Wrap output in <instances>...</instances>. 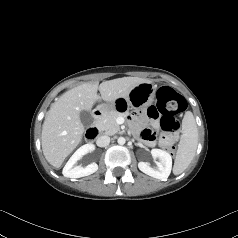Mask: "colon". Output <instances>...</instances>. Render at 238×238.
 Listing matches in <instances>:
<instances>
[{"instance_id":"colon-1","label":"colon","mask_w":238,"mask_h":238,"mask_svg":"<svg viewBox=\"0 0 238 238\" xmlns=\"http://www.w3.org/2000/svg\"><path fill=\"white\" fill-rule=\"evenodd\" d=\"M157 102L154 106L160 109V126L163 130V136L160 145L169 151L174 152L173 136L179 129V122L176 115L186 109V100L173 88L168 86L160 87L156 94Z\"/></svg>"}]
</instances>
